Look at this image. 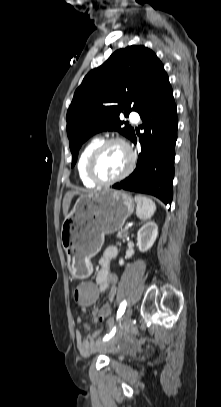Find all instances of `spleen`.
<instances>
[{"mask_svg": "<svg viewBox=\"0 0 221 407\" xmlns=\"http://www.w3.org/2000/svg\"><path fill=\"white\" fill-rule=\"evenodd\" d=\"M135 202L137 204L136 215L142 220L150 219L156 211L155 203L144 195H136Z\"/></svg>", "mask_w": 221, "mask_h": 407, "instance_id": "obj_1", "label": "spleen"}]
</instances>
